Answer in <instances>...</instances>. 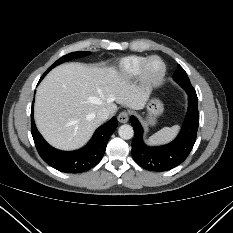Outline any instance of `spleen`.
<instances>
[{
	"instance_id": "spleen-1",
	"label": "spleen",
	"mask_w": 233,
	"mask_h": 233,
	"mask_svg": "<svg viewBox=\"0 0 233 233\" xmlns=\"http://www.w3.org/2000/svg\"><path fill=\"white\" fill-rule=\"evenodd\" d=\"M180 127L174 125L172 127H164L146 140L149 145H158L171 141L176 137L179 132Z\"/></svg>"
}]
</instances>
